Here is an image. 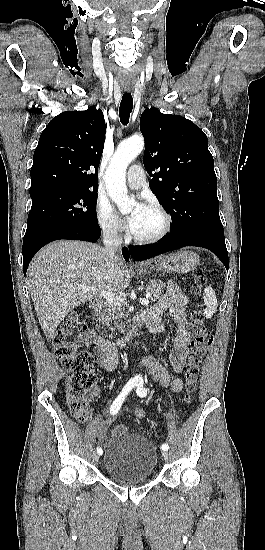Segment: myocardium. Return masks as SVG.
Masks as SVG:
<instances>
[{"label": "myocardium", "instance_id": "f54148a6", "mask_svg": "<svg viewBox=\"0 0 265 550\" xmlns=\"http://www.w3.org/2000/svg\"><path fill=\"white\" fill-rule=\"evenodd\" d=\"M147 207L156 211L162 217L163 226L159 232L148 237L137 236L131 231L130 236L133 239V241L143 245L156 243L162 240L165 236H167V234L170 232L172 227V218L170 214L162 206L156 203H150L147 205Z\"/></svg>", "mask_w": 265, "mask_h": 550}]
</instances>
